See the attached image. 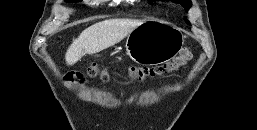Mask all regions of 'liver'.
<instances>
[{
  "mask_svg": "<svg viewBox=\"0 0 257 130\" xmlns=\"http://www.w3.org/2000/svg\"><path fill=\"white\" fill-rule=\"evenodd\" d=\"M145 20L110 19L98 22L83 30L73 40L65 54L68 65H74L86 53L96 54L123 40Z\"/></svg>",
  "mask_w": 257,
  "mask_h": 130,
  "instance_id": "6515ba94",
  "label": "liver"
}]
</instances>
